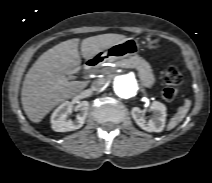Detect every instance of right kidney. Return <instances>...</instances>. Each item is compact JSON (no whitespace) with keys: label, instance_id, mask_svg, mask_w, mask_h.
Wrapping results in <instances>:
<instances>
[{"label":"right kidney","instance_id":"obj_1","mask_svg":"<svg viewBox=\"0 0 212 183\" xmlns=\"http://www.w3.org/2000/svg\"><path fill=\"white\" fill-rule=\"evenodd\" d=\"M76 109L79 111L76 119L67 120L72 110V104L69 101L63 102L51 115L52 129L57 132H67L81 128L88 114L89 103L87 101L78 102Z\"/></svg>","mask_w":212,"mask_h":183}]
</instances>
